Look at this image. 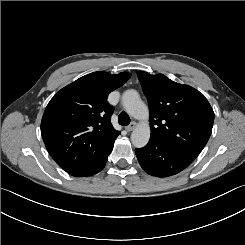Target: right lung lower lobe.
<instances>
[{
	"label": "right lung lower lobe",
	"instance_id": "right-lung-lower-lobe-1",
	"mask_svg": "<svg viewBox=\"0 0 245 245\" xmlns=\"http://www.w3.org/2000/svg\"><path fill=\"white\" fill-rule=\"evenodd\" d=\"M108 155H106L105 157H103L102 159H100L99 161H97L96 163H94L90 168H88L84 172H82V173H80L78 175H75V177L92 176V175L100 172L104 168V166H105V164L107 162Z\"/></svg>",
	"mask_w": 245,
	"mask_h": 245
}]
</instances>
